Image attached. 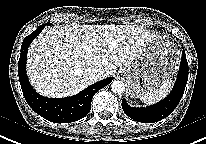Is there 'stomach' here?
Masks as SVG:
<instances>
[{"instance_id":"1","label":"stomach","mask_w":206,"mask_h":144,"mask_svg":"<svg viewBox=\"0 0 206 144\" xmlns=\"http://www.w3.org/2000/svg\"><path fill=\"white\" fill-rule=\"evenodd\" d=\"M178 61L179 52L172 42L151 37L138 58L121 68L131 97L140 98L169 81Z\"/></svg>"}]
</instances>
